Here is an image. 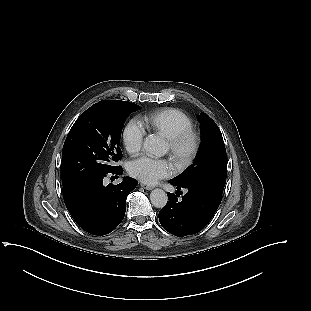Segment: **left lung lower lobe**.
Masks as SVG:
<instances>
[{
  "label": "left lung lower lobe",
  "mask_w": 311,
  "mask_h": 311,
  "mask_svg": "<svg viewBox=\"0 0 311 311\" xmlns=\"http://www.w3.org/2000/svg\"><path fill=\"white\" fill-rule=\"evenodd\" d=\"M169 183L177 186L178 190L186 188L188 192L182 196V200L177 198L180 191L176 195L167 193L169 201L159 212L161 225L178 237L201 231L219 207L221 197L198 186H183L173 180Z\"/></svg>",
  "instance_id": "1"
}]
</instances>
